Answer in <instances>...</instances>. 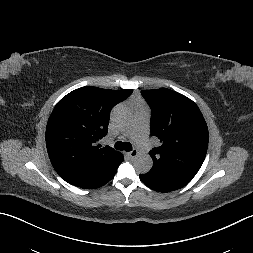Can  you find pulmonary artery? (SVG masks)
Masks as SVG:
<instances>
[{"mask_svg":"<svg viewBox=\"0 0 253 253\" xmlns=\"http://www.w3.org/2000/svg\"><path fill=\"white\" fill-rule=\"evenodd\" d=\"M149 114L143 110L132 126L124 132L125 136L132 137L142 152L148 153L152 148L147 135Z\"/></svg>","mask_w":253,"mask_h":253,"instance_id":"obj_1","label":"pulmonary artery"}]
</instances>
